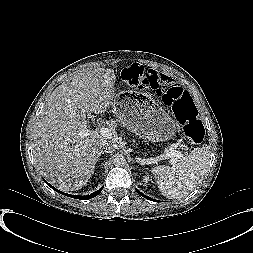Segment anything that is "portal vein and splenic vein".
Returning <instances> with one entry per match:
<instances>
[{"label": "portal vein and splenic vein", "instance_id": "1", "mask_svg": "<svg viewBox=\"0 0 253 253\" xmlns=\"http://www.w3.org/2000/svg\"><path fill=\"white\" fill-rule=\"evenodd\" d=\"M100 134L107 139H111L115 137L116 132H115V129L113 128L101 127ZM166 156L168 158H172L173 159L172 162L175 163V159L181 157L182 154L178 150L170 149V151L166 154Z\"/></svg>", "mask_w": 253, "mask_h": 253}]
</instances>
